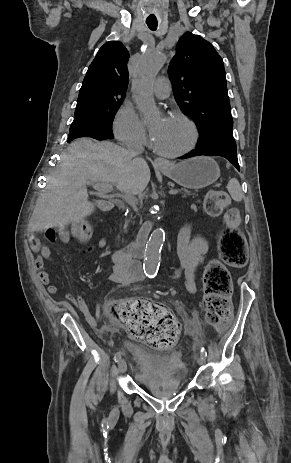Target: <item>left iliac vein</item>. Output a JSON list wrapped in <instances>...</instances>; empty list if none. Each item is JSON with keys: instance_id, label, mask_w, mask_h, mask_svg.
Segmentation results:
<instances>
[{"instance_id": "1", "label": "left iliac vein", "mask_w": 291, "mask_h": 463, "mask_svg": "<svg viewBox=\"0 0 291 463\" xmlns=\"http://www.w3.org/2000/svg\"><path fill=\"white\" fill-rule=\"evenodd\" d=\"M197 362L199 365H203L205 362V358L202 355H199L197 358Z\"/></svg>"}]
</instances>
